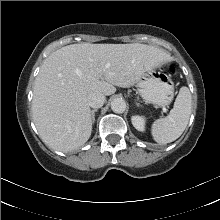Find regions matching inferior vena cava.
I'll return each instance as SVG.
<instances>
[{"label": "inferior vena cava", "instance_id": "obj_1", "mask_svg": "<svg viewBox=\"0 0 220 220\" xmlns=\"http://www.w3.org/2000/svg\"><path fill=\"white\" fill-rule=\"evenodd\" d=\"M105 100V96L100 92H92L87 97V103L92 108L102 107Z\"/></svg>", "mask_w": 220, "mask_h": 220}]
</instances>
